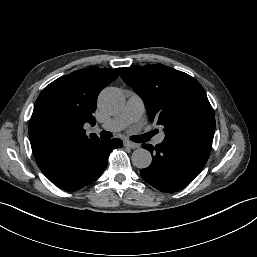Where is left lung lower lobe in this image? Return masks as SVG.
Listing matches in <instances>:
<instances>
[{"mask_svg":"<svg viewBox=\"0 0 257 257\" xmlns=\"http://www.w3.org/2000/svg\"><path fill=\"white\" fill-rule=\"evenodd\" d=\"M212 138L170 139L153 147H142L152 154L149 167L140 170L141 177L164 192L185 188L202 171L211 149Z\"/></svg>","mask_w":257,"mask_h":257,"instance_id":"obj_1","label":"left lung lower lobe"}]
</instances>
